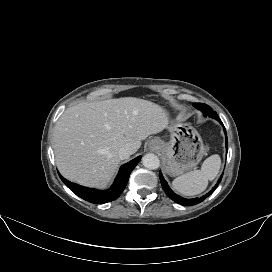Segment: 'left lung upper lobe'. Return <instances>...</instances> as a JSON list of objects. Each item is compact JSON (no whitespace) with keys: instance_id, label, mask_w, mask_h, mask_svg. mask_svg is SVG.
<instances>
[{"instance_id":"left-lung-upper-lobe-1","label":"left lung upper lobe","mask_w":272,"mask_h":272,"mask_svg":"<svg viewBox=\"0 0 272 272\" xmlns=\"http://www.w3.org/2000/svg\"><path fill=\"white\" fill-rule=\"evenodd\" d=\"M193 105H194L195 108L201 110V111L204 113L205 116H206V115H209L210 117H214V116L217 115L216 112L213 111V110H212L208 105H206V104L194 103Z\"/></svg>"}]
</instances>
